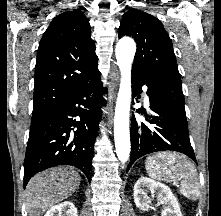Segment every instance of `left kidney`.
<instances>
[{
	"label": "left kidney",
	"instance_id": "obj_1",
	"mask_svg": "<svg viewBox=\"0 0 221 216\" xmlns=\"http://www.w3.org/2000/svg\"><path fill=\"white\" fill-rule=\"evenodd\" d=\"M149 191L152 196L157 195L159 203L164 205L161 216H183L179 203L169 187L148 177H140L134 185V202L140 210H149L150 199L147 196Z\"/></svg>",
	"mask_w": 221,
	"mask_h": 216
}]
</instances>
